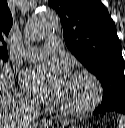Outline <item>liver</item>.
<instances>
[{
    "instance_id": "obj_1",
    "label": "liver",
    "mask_w": 125,
    "mask_h": 128,
    "mask_svg": "<svg viewBox=\"0 0 125 128\" xmlns=\"http://www.w3.org/2000/svg\"><path fill=\"white\" fill-rule=\"evenodd\" d=\"M13 79L0 64V128H19L22 120L15 101Z\"/></svg>"
}]
</instances>
